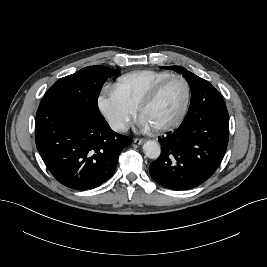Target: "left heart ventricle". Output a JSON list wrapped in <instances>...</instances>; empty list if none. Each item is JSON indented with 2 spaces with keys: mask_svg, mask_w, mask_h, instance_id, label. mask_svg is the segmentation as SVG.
Here are the masks:
<instances>
[{
  "mask_svg": "<svg viewBox=\"0 0 267 267\" xmlns=\"http://www.w3.org/2000/svg\"><path fill=\"white\" fill-rule=\"evenodd\" d=\"M185 93V86L180 79L168 81L155 101L144 110L142 117L151 127L172 122L183 107Z\"/></svg>",
  "mask_w": 267,
  "mask_h": 267,
  "instance_id": "1",
  "label": "left heart ventricle"
}]
</instances>
